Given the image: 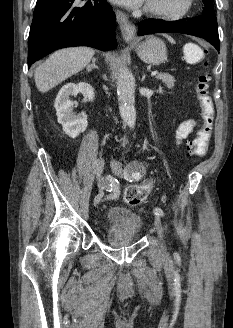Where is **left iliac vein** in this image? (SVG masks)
<instances>
[{"mask_svg":"<svg viewBox=\"0 0 233 328\" xmlns=\"http://www.w3.org/2000/svg\"><path fill=\"white\" fill-rule=\"evenodd\" d=\"M110 165H111L112 172L117 177L123 178L125 176H128V173L126 171H124L121 164L117 160H112ZM154 225H155V228L159 235V238L161 240V247H162V249H164L165 246H164V241H163V227H162L161 219L159 218V216L155 217Z\"/></svg>","mask_w":233,"mask_h":328,"instance_id":"obj_1","label":"left iliac vein"}]
</instances>
